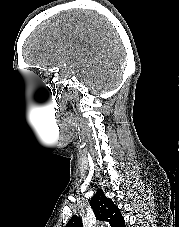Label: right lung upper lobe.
<instances>
[{"label": "right lung upper lobe", "instance_id": "1", "mask_svg": "<svg viewBox=\"0 0 179 227\" xmlns=\"http://www.w3.org/2000/svg\"><path fill=\"white\" fill-rule=\"evenodd\" d=\"M90 205L96 219L108 222L111 227H125V221L120 210L110 198L104 195L102 190H98L91 198ZM65 227H83L82 219L73 216Z\"/></svg>", "mask_w": 179, "mask_h": 227}]
</instances>
